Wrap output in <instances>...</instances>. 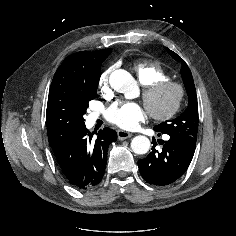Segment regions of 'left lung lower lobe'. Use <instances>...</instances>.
Masks as SVG:
<instances>
[{
  "label": "left lung lower lobe",
  "mask_w": 236,
  "mask_h": 236,
  "mask_svg": "<svg viewBox=\"0 0 236 236\" xmlns=\"http://www.w3.org/2000/svg\"><path fill=\"white\" fill-rule=\"evenodd\" d=\"M160 135V134H159ZM160 151L155 149L153 139L152 151L144 159L138 161V167L146 182L156 186L169 185L178 180L187 170L192 161L195 146L180 138L170 136Z\"/></svg>",
  "instance_id": "obj_1"
}]
</instances>
